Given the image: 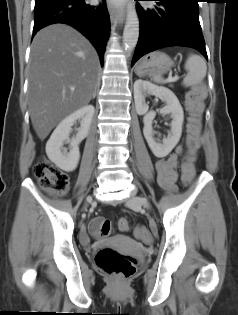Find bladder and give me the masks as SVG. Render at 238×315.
<instances>
[{"instance_id":"1","label":"bladder","mask_w":238,"mask_h":315,"mask_svg":"<svg viewBox=\"0 0 238 315\" xmlns=\"http://www.w3.org/2000/svg\"><path fill=\"white\" fill-rule=\"evenodd\" d=\"M117 249H131V248H117Z\"/></svg>"}]
</instances>
